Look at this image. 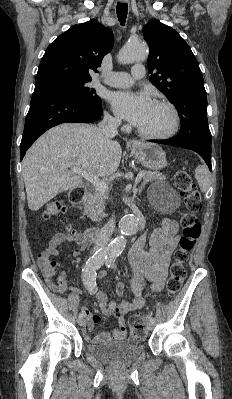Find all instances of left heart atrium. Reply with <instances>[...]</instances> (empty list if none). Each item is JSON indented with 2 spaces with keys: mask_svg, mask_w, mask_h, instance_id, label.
Returning a JSON list of instances; mask_svg holds the SVG:
<instances>
[{
  "mask_svg": "<svg viewBox=\"0 0 232 399\" xmlns=\"http://www.w3.org/2000/svg\"><path fill=\"white\" fill-rule=\"evenodd\" d=\"M111 104L117 115L135 126L143 121L152 105L146 97L130 93L113 94Z\"/></svg>",
  "mask_w": 232,
  "mask_h": 399,
  "instance_id": "1",
  "label": "left heart atrium"
}]
</instances>
